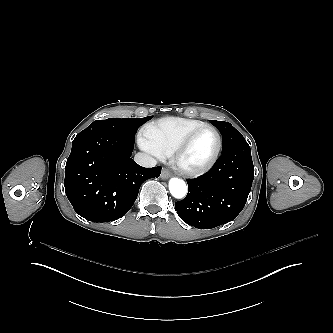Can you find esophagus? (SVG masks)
Returning a JSON list of instances; mask_svg holds the SVG:
<instances>
[{
    "instance_id": "esophagus-1",
    "label": "esophagus",
    "mask_w": 333,
    "mask_h": 333,
    "mask_svg": "<svg viewBox=\"0 0 333 333\" xmlns=\"http://www.w3.org/2000/svg\"><path fill=\"white\" fill-rule=\"evenodd\" d=\"M170 176H171V173L167 169L163 168L160 178L163 180H167L170 178Z\"/></svg>"
}]
</instances>
